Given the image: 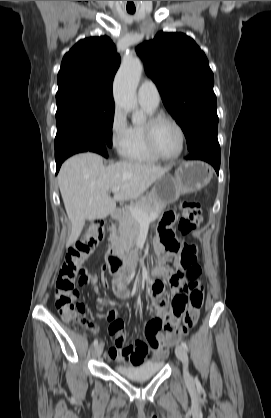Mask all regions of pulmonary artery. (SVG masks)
Listing matches in <instances>:
<instances>
[{
    "instance_id": "pulmonary-artery-1",
    "label": "pulmonary artery",
    "mask_w": 271,
    "mask_h": 418,
    "mask_svg": "<svg viewBox=\"0 0 271 418\" xmlns=\"http://www.w3.org/2000/svg\"><path fill=\"white\" fill-rule=\"evenodd\" d=\"M138 101L141 105H146L156 109L160 103V94L153 82L144 81L138 89Z\"/></svg>"
}]
</instances>
